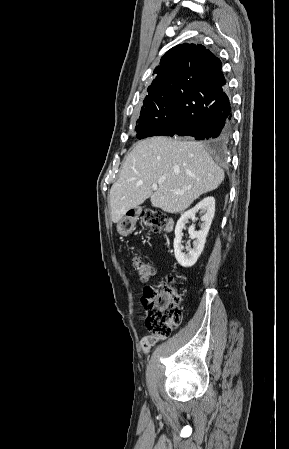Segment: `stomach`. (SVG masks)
<instances>
[{"label": "stomach", "instance_id": "stomach-1", "mask_svg": "<svg viewBox=\"0 0 289 449\" xmlns=\"http://www.w3.org/2000/svg\"><path fill=\"white\" fill-rule=\"evenodd\" d=\"M135 217H123L117 224V231L122 236L129 235L135 227Z\"/></svg>", "mask_w": 289, "mask_h": 449}]
</instances>
